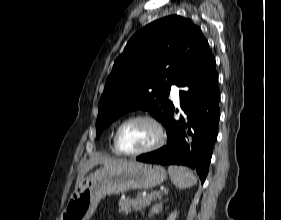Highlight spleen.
Here are the masks:
<instances>
[{"mask_svg":"<svg viewBox=\"0 0 281 220\" xmlns=\"http://www.w3.org/2000/svg\"><path fill=\"white\" fill-rule=\"evenodd\" d=\"M168 173L171 182L180 189L189 188L197 183V178L188 167L170 165Z\"/></svg>","mask_w":281,"mask_h":220,"instance_id":"1","label":"spleen"}]
</instances>
